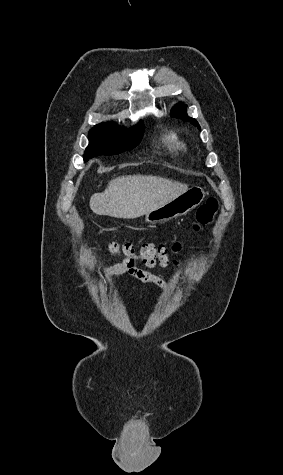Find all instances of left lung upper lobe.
<instances>
[{
    "label": "left lung upper lobe",
    "instance_id": "left-lung-upper-lobe-1",
    "mask_svg": "<svg viewBox=\"0 0 283 475\" xmlns=\"http://www.w3.org/2000/svg\"><path fill=\"white\" fill-rule=\"evenodd\" d=\"M171 116L182 119L186 122H190L200 129L198 122L194 118H191L187 115V105H184L183 103L174 106V108L171 110Z\"/></svg>",
    "mask_w": 283,
    "mask_h": 475
}]
</instances>
